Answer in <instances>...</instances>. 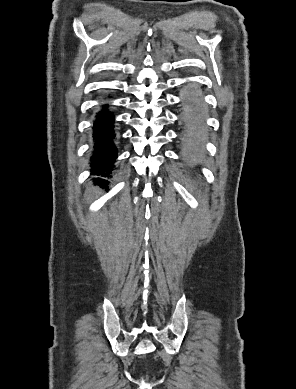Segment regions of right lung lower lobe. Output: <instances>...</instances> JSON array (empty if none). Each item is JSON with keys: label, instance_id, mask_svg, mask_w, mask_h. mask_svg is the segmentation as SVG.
Instances as JSON below:
<instances>
[{"label": "right lung lower lobe", "instance_id": "right-lung-lower-lobe-1", "mask_svg": "<svg viewBox=\"0 0 296 389\" xmlns=\"http://www.w3.org/2000/svg\"><path fill=\"white\" fill-rule=\"evenodd\" d=\"M115 115L108 105H102L93 121V149L90 157L92 175H100L94 181L106 186L109 175L117 158Z\"/></svg>", "mask_w": 296, "mask_h": 389}]
</instances>
